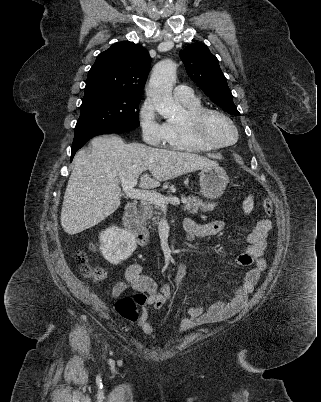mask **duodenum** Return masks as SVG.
<instances>
[{
	"label": "duodenum",
	"mask_w": 321,
	"mask_h": 402,
	"mask_svg": "<svg viewBox=\"0 0 321 402\" xmlns=\"http://www.w3.org/2000/svg\"><path fill=\"white\" fill-rule=\"evenodd\" d=\"M123 224L138 244L145 246L150 242L147 228L137 219L135 203H129L123 213Z\"/></svg>",
	"instance_id": "duodenum-1"
}]
</instances>
